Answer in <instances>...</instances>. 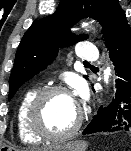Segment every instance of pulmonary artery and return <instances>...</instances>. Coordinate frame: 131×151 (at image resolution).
<instances>
[{"instance_id":"obj_1","label":"pulmonary artery","mask_w":131,"mask_h":151,"mask_svg":"<svg viewBox=\"0 0 131 151\" xmlns=\"http://www.w3.org/2000/svg\"><path fill=\"white\" fill-rule=\"evenodd\" d=\"M77 56L82 61L94 62L98 59V52L92 43L82 42L78 46Z\"/></svg>"}]
</instances>
